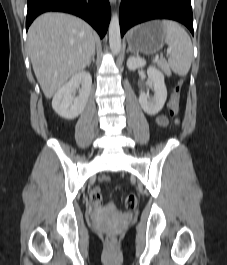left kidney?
<instances>
[{"label":"left kidney","mask_w":227,"mask_h":265,"mask_svg":"<svg viewBox=\"0 0 227 265\" xmlns=\"http://www.w3.org/2000/svg\"><path fill=\"white\" fill-rule=\"evenodd\" d=\"M146 61L139 56H130L127 59V67L131 71H135L137 68L144 67ZM147 75L153 83L154 87V97L149 98L144 91H140L139 103L144 110L149 115L157 114L164 106L167 99V89L165 86L163 73L155 68L149 67L147 69Z\"/></svg>","instance_id":"5707ae66"}]
</instances>
